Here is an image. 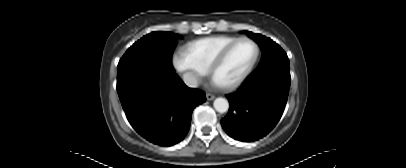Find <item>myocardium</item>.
I'll return each instance as SVG.
<instances>
[{"mask_svg":"<svg viewBox=\"0 0 406 168\" xmlns=\"http://www.w3.org/2000/svg\"><path fill=\"white\" fill-rule=\"evenodd\" d=\"M241 42H250L254 48H255V54L252 58V60L250 61V63L247 65V67L239 74L238 77H236L234 80L225 83V84H218L215 81V75L217 73V71L219 70V68L222 66V64L224 63L225 59L227 58V56L229 55V53L231 52V50L239 43ZM259 54H260V49L258 44L252 40L251 38L248 37H239L236 38L234 41H232L230 44H228L227 46H225L218 54L217 56L214 58L210 68H209V74L211 76V78L219 85L220 88L224 89V90H233L237 87H239L244 81L245 79L249 76V74L251 73V71L253 70L255 64L257 63V60L259 58Z\"/></svg>","mask_w":406,"mask_h":168,"instance_id":"obj_1","label":"myocardium"}]
</instances>
